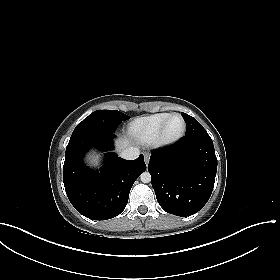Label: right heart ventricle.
Here are the masks:
<instances>
[{
    "label": "right heart ventricle",
    "mask_w": 280,
    "mask_h": 280,
    "mask_svg": "<svg viewBox=\"0 0 280 280\" xmlns=\"http://www.w3.org/2000/svg\"><path fill=\"white\" fill-rule=\"evenodd\" d=\"M171 113H156L134 120L129 131L140 143L149 144L155 141L162 123Z\"/></svg>",
    "instance_id": "1"
}]
</instances>
